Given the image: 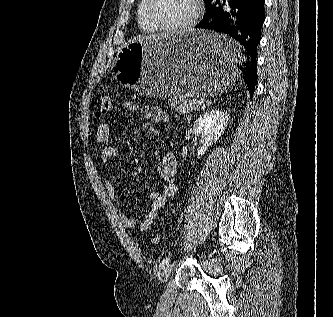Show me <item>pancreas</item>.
Masks as SVG:
<instances>
[{"label":"pancreas","mask_w":333,"mask_h":317,"mask_svg":"<svg viewBox=\"0 0 333 317\" xmlns=\"http://www.w3.org/2000/svg\"><path fill=\"white\" fill-rule=\"evenodd\" d=\"M168 103L173 107V109L179 114H187L198 110L199 105L191 104L190 100L171 97Z\"/></svg>","instance_id":"obj_1"}]
</instances>
